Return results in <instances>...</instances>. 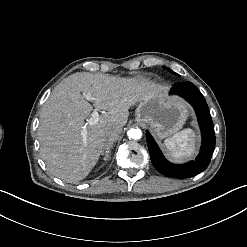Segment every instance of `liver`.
Listing matches in <instances>:
<instances>
[{
	"label": "liver",
	"mask_w": 247,
	"mask_h": 247,
	"mask_svg": "<svg viewBox=\"0 0 247 247\" xmlns=\"http://www.w3.org/2000/svg\"><path fill=\"white\" fill-rule=\"evenodd\" d=\"M158 88L157 82L142 74L113 77L78 72L62 80L40 113L37 135L47 170L68 183L83 179L107 142L105 128L112 124L124 126L129 108ZM93 108L108 112L97 124H86L84 118Z\"/></svg>",
	"instance_id": "liver-1"
}]
</instances>
